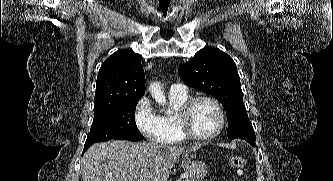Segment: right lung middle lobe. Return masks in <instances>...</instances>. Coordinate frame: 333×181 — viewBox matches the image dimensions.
<instances>
[{
	"mask_svg": "<svg viewBox=\"0 0 333 181\" xmlns=\"http://www.w3.org/2000/svg\"><path fill=\"white\" fill-rule=\"evenodd\" d=\"M139 100L127 101L95 108L94 119L85 143L90 147L96 142L110 139L138 141L143 139L135 123V108Z\"/></svg>",
	"mask_w": 333,
	"mask_h": 181,
	"instance_id": "right-lung-middle-lobe-1",
	"label": "right lung middle lobe"
}]
</instances>
